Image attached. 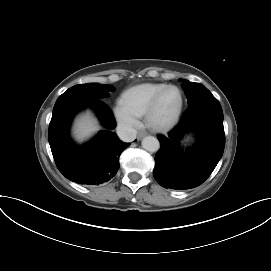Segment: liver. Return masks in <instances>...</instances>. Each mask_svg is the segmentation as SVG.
Returning a JSON list of instances; mask_svg holds the SVG:
<instances>
[{"label": "liver", "mask_w": 271, "mask_h": 271, "mask_svg": "<svg viewBox=\"0 0 271 271\" xmlns=\"http://www.w3.org/2000/svg\"><path fill=\"white\" fill-rule=\"evenodd\" d=\"M98 130L97 120L90 112H86L76 120L74 134L78 140L82 141L92 136Z\"/></svg>", "instance_id": "liver-1"}]
</instances>
